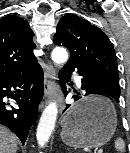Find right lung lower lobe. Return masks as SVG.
Returning a JSON list of instances; mask_svg holds the SVG:
<instances>
[{"mask_svg": "<svg viewBox=\"0 0 130 153\" xmlns=\"http://www.w3.org/2000/svg\"><path fill=\"white\" fill-rule=\"evenodd\" d=\"M12 88L16 90L12 91ZM43 92V70L40 65L26 73L0 77V124L12 130L22 144L37 119ZM4 97L15 100L19 109H7L9 103L3 101Z\"/></svg>", "mask_w": 130, "mask_h": 153, "instance_id": "obj_1", "label": "right lung lower lobe"}]
</instances>
